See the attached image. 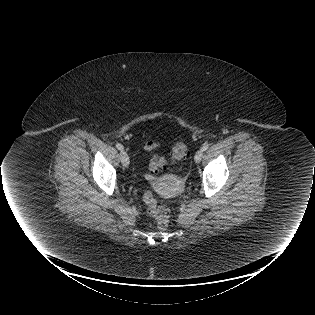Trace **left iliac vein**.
Wrapping results in <instances>:
<instances>
[{"label": "left iliac vein", "instance_id": "left-iliac-vein-1", "mask_svg": "<svg viewBox=\"0 0 315 315\" xmlns=\"http://www.w3.org/2000/svg\"><path fill=\"white\" fill-rule=\"evenodd\" d=\"M202 157H203V150H202V149H199V150L196 152L195 156H194L195 162H196V163H199V162L201 161Z\"/></svg>", "mask_w": 315, "mask_h": 315}]
</instances>
